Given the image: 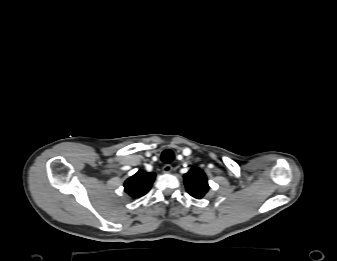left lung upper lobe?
I'll return each instance as SVG.
<instances>
[{
	"label": "left lung upper lobe",
	"instance_id": "5c2ea615",
	"mask_svg": "<svg viewBox=\"0 0 337 261\" xmlns=\"http://www.w3.org/2000/svg\"><path fill=\"white\" fill-rule=\"evenodd\" d=\"M187 192L196 199L202 198L209 189L205 173L199 168H192L184 175Z\"/></svg>",
	"mask_w": 337,
	"mask_h": 261
}]
</instances>
